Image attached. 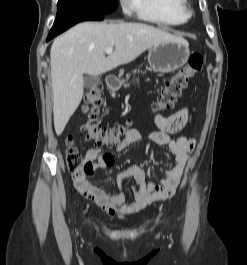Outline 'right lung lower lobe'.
I'll return each instance as SVG.
<instances>
[{"instance_id":"1","label":"right lung lower lobe","mask_w":247,"mask_h":265,"mask_svg":"<svg viewBox=\"0 0 247 265\" xmlns=\"http://www.w3.org/2000/svg\"><path fill=\"white\" fill-rule=\"evenodd\" d=\"M104 16L96 13H77L66 15L62 17H56L54 25L47 37L46 41L51 40L58 34L64 32L76 23L87 21V20H103Z\"/></svg>"}]
</instances>
